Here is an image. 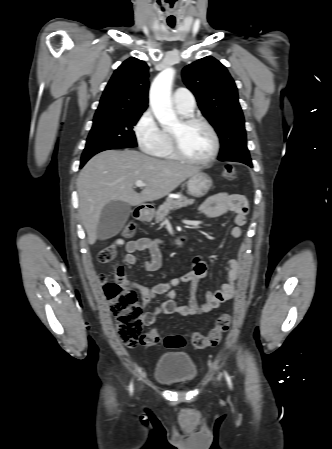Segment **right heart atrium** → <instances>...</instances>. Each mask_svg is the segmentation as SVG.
<instances>
[{"label": "right heart atrium", "mask_w": 332, "mask_h": 449, "mask_svg": "<svg viewBox=\"0 0 332 449\" xmlns=\"http://www.w3.org/2000/svg\"><path fill=\"white\" fill-rule=\"evenodd\" d=\"M141 150L155 154L164 141V132L159 127L153 112L148 109L139 117L134 127Z\"/></svg>", "instance_id": "1"}]
</instances>
